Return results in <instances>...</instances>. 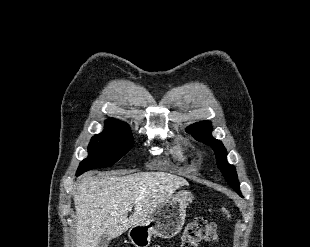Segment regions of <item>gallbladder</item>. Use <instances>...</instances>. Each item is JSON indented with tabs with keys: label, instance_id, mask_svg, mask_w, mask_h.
I'll return each instance as SVG.
<instances>
[{
	"label": "gallbladder",
	"instance_id": "bac80fb5",
	"mask_svg": "<svg viewBox=\"0 0 310 247\" xmlns=\"http://www.w3.org/2000/svg\"><path fill=\"white\" fill-rule=\"evenodd\" d=\"M109 242H110V236H108V235H103V236L100 238V241H99V243H98V247H108Z\"/></svg>",
	"mask_w": 310,
	"mask_h": 247
}]
</instances>
